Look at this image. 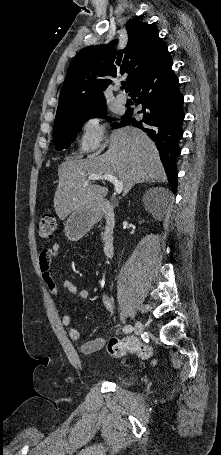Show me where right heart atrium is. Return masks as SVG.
I'll use <instances>...</instances> for the list:
<instances>
[{"mask_svg": "<svg viewBox=\"0 0 221 455\" xmlns=\"http://www.w3.org/2000/svg\"><path fill=\"white\" fill-rule=\"evenodd\" d=\"M107 125L99 116L86 118L80 126L79 148L84 152L100 150L105 142Z\"/></svg>", "mask_w": 221, "mask_h": 455, "instance_id": "d8ad5b80", "label": "right heart atrium"}]
</instances>
